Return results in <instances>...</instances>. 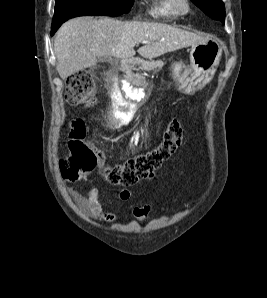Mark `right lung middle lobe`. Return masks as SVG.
I'll return each mask as SVG.
<instances>
[{
  "mask_svg": "<svg viewBox=\"0 0 267 298\" xmlns=\"http://www.w3.org/2000/svg\"><path fill=\"white\" fill-rule=\"evenodd\" d=\"M134 0H56L53 23L77 16L116 17L130 11Z\"/></svg>",
  "mask_w": 267,
  "mask_h": 298,
  "instance_id": "right-lung-middle-lobe-1",
  "label": "right lung middle lobe"
}]
</instances>
